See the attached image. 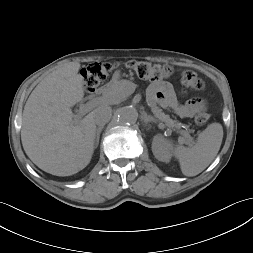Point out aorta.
Listing matches in <instances>:
<instances>
[{"label": "aorta", "instance_id": "aorta-1", "mask_svg": "<svg viewBox=\"0 0 253 253\" xmlns=\"http://www.w3.org/2000/svg\"><path fill=\"white\" fill-rule=\"evenodd\" d=\"M117 119L122 124H135L138 119V112L132 106H125L118 110Z\"/></svg>", "mask_w": 253, "mask_h": 253}]
</instances>
